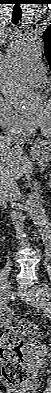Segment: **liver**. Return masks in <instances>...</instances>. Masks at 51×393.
Listing matches in <instances>:
<instances>
[{
	"label": "liver",
	"instance_id": "obj_1",
	"mask_svg": "<svg viewBox=\"0 0 51 393\" xmlns=\"http://www.w3.org/2000/svg\"><path fill=\"white\" fill-rule=\"evenodd\" d=\"M28 171V159L24 153L16 152L9 146L4 137H0V178L7 176L16 180Z\"/></svg>",
	"mask_w": 51,
	"mask_h": 393
}]
</instances>
